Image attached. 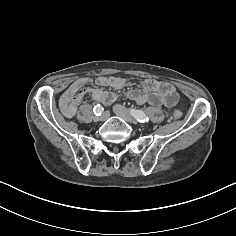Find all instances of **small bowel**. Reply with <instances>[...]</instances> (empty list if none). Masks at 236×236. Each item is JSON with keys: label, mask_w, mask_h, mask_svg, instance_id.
<instances>
[{"label": "small bowel", "mask_w": 236, "mask_h": 236, "mask_svg": "<svg viewBox=\"0 0 236 236\" xmlns=\"http://www.w3.org/2000/svg\"><path fill=\"white\" fill-rule=\"evenodd\" d=\"M89 81L88 79H77L62 94L60 105L67 117L74 115L85 94H91L95 101L109 106L121 95V91L127 85V79L124 77L101 76L96 78L95 84L112 89V91H106L99 87L87 86ZM127 95L139 105L173 107L178 102V94L171 84L154 79L142 81L140 87L129 90Z\"/></svg>", "instance_id": "small-bowel-1"}]
</instances>
